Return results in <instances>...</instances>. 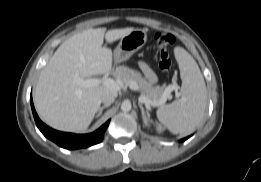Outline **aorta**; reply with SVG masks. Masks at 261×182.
<instances>
[{
  "label": "aorta",
  "instance_id": "aorta-1",
  "mask_svg": "<svg viewBox=\"0 0 261 182\" xmlns=\"http://www.w3.org/2000/svg\"><path fill=\"white\" fill-rule=\"evenodd\" d=\"M132 108V105H131V102L130 101H124L122 104H121V110L123 112H129Z\"/></svg>",
  "mask_w": 261,
  "mask_h": 182
}]
</instances>
